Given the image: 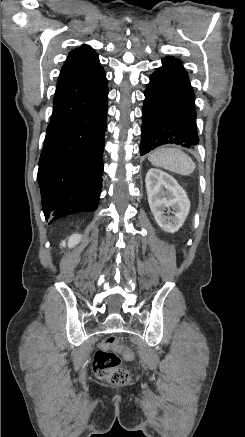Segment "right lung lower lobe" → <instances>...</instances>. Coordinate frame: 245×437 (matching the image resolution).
<instances>
[{
	"mask_svg": "<svg viewBox=\"0 0 245 437\" xmlns=\"http://www.w3.org/2000/svg\"><path fill=\"white\" fill-rule=\"evenodd\" d=\"M107 99V79L86 91L54 98L38 170L49 224L98 207Z\"/></svg>",
	"mask_w": 245,
	"mask_h": 437,
	"instance_id": "obj_1",
	"label": "right lung lower lobe"
}]
</instances>
